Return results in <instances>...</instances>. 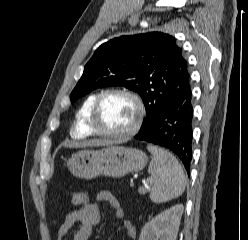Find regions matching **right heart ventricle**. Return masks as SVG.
<instances>
[{
	"instance_id": "obj_1",
	"label": "right heart ventricle",
	"mask_w": 248,
	"mask_h": 240,
	"mask_svg": "<svg viewBox=\"0 0 248 240\" xmlns=\"http://www.w3.org/2000/svg\"><path fill=\"white\" fill-rule=\"evenodd\" d=\"M101 93L88 95L80 105L71 128V136L75 139H85L94 134L90 125V115L93 105Z\"/></svg>"
}]
</instances>
